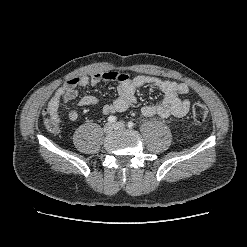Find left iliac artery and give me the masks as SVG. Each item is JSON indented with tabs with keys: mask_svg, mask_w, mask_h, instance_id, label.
Returning <instances> with one entry per match:
<instances>
[{
	"mask_svg": "<svg viewBox=\"0 0 247 247\" xmlns=\"http://www.w3.org/2000/svg\"><path fill=\"white\" fill-rule=\"evenodd\" d=\"M127 126H128L129 128H133V127H134V123L131 122V121H129V122L127 123Z\"/></svg>",
	"mask_w": 247,
	"mask_h": 247,
	"instance_id": "left-iliac-artery-1",
	"label": "left iliac artery"
}]
</instances>
